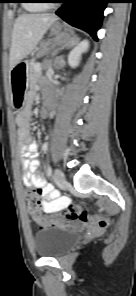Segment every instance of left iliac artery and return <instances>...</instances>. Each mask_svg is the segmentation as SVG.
I'll return each mask as SVG.
<instances>
[{"instance_id": "obj_1", "label": "left iliac artery", "mask_w": 136, "mask_h": 296, "mask_svg": "<svg viewBox=\"0 0 136 296\" xmlns=\"http://www.w3.org/2000/svg\"><path fill=\"white\" fill-rule=\"evenodd\" d=\"M51 173H52V168L50 166H48V171H47L48 176H50Z\"/></svg>"}]
</instances>
